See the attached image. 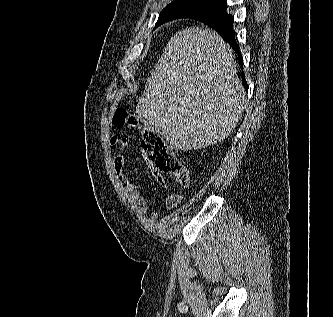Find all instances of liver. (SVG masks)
Listing matches in <instances>:
<instances>
[{
  "instance_id": "6515ba94",
  "label": "liver",
  "mask_w": 333,
  "mask_h": 317,
  "mask_svg": "<svg viewBox=\"0 0 333 317\" xmlns=\"http://www.w3.org/2000/svg\"><path fill=\"white\" fill-rule=\"evenodd\" d=\"M236 67L232 49L215 31H179L149 77L137 113L175 149L217 144L246 108Z\"/></svg>"
}]
</instances>
